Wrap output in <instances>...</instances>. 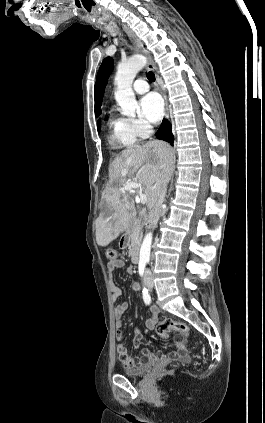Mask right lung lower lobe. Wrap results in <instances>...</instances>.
<instances>
[{
    "instance_id": "obj_1",
    "label": "right lung lower lobe",
    "mask_w": 265,
    "mask_h": 423,
    "mask_svg": "<svg viewBox=\"0 0 265 423\" xmlns=\"http://www.w3.org/2000/svg\"><path fill=\"white\" fill-rule=\"evenodd\" d=\"M156 137L160 140H164L171 145H173L174 142V136L171 132V125L169 122L164 119L161 126L159 127L158 131L156 132Z\"/></svg>"
}]
</instances>
